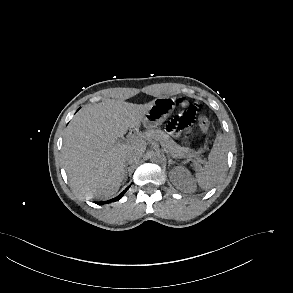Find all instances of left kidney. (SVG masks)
Masks as SVG:
<instances>
[{"label": "left kidney", "instance_id": "5707ae66", "mask_svg": "<svg viewBox=\"0 0 293 293\" xmlns=\"http://www.w3.org/2000/svg\"><path fill=\"white\" fill-rule=\"evenodd\" d=\"M170 179L174 186L181 190L194 191L196 186L190 173L184 167H175L170 172Z\"/></svg>", "mask_w": 293, "mask_h": 293}]
</instances>
